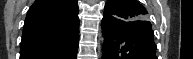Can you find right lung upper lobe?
Here are the masks:
<instances>
[{
	"instance_id": "right-lung-upper-lobe-1",
	"label": "right lung upper lobe",
	"mask_w": 193,
	"mask_h": 59,
	"mask_svg": "<svg viewBox=\"0 0 193 59\" xmlns=\"http://www.w3.org/2000/svg\"><path fill=\"white\" fill-rule=\"evenodd\" d=\"M78 34L77 0H36L26 16L20 55L51 52Z\"/></svg>"
}]
</instances>
